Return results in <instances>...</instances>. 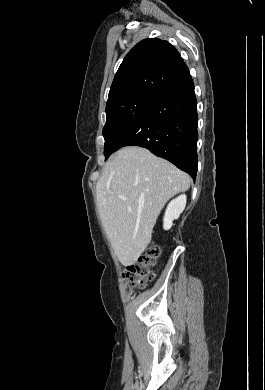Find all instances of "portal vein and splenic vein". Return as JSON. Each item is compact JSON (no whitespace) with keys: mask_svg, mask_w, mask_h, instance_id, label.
I'll return each instance as SVG.
<instances>
[{"mask_svg":"<svg viewBox=\"0 0 265 390\" xmlns=\"http://www.w3.org/2000/svg\"><path fill=\"white\" fill-rule=\"evenodd\" d=\"M123 200H126V198L122 197Z\"/></svg>","mask_w":265,"mask_h":390,"instance_id":"1","label":"portal vein and splenic vein"}]
</instances>
